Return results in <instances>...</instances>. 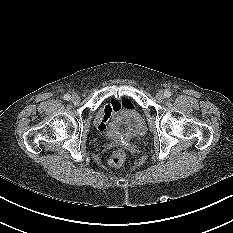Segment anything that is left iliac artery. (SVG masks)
Here are the masks:
<instances>
[{"instance_id": "1", "label": "left iliac artery", "mask_w": 233, "mask_h": 233, "mask_svg": "<svg viewBox=\"0 0 233 233\" xmlns=\"http://www.w3.org/2000/svg\"><path fill=\"white\" fill-rule=\"evenodd\" d=\"M171 95V92L169 90L164 91V97L168 98Z\"/></svg>"}]
</instances>
